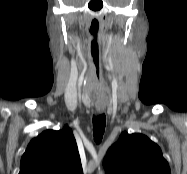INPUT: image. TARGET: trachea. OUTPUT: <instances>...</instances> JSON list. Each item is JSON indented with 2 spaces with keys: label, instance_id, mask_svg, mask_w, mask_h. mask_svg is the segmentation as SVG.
<instances>
[{
  "label": "trachea",
  "instance_id": "1",
  "mask_svg": "<svg viewBox=\"0 0 187 174\" xmlns=\"http://www.w3.org/2000/svg\"><path fill=\"white\" fill-rule=\"evenodd\" d=\"M106 117L104 114L93 116V135L96 143H100L104 134Z\"/></svg>",
  "mask_w": 187,
  "mask_h": 174
}]
</instances>
